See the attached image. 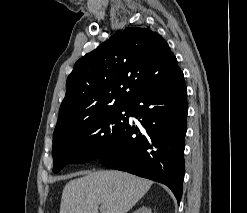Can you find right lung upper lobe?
<instances>
[{
	"label": "right lung upper lobe",
	"mask_w": 247,
	"mask_h": 213,
	"mask_svg": "<svg viewBox=\"0 0 247 213\" xmlns=\"http://www.w3.org/2000/svg\"><path fill=\"white\" fill-rule=\"evenodd\" d=\"M178 67L168 43L147 28H127L79 59L66 82L53 137L130 100Z\"/></svg>",
	"instance_id": "obj_1"
}]
</instances>
